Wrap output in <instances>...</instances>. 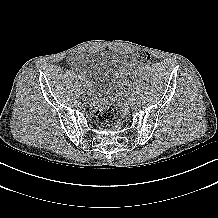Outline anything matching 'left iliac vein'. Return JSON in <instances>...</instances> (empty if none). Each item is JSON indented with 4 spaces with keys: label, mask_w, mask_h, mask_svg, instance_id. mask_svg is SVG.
<instances>
[{
    "label": "left iliac vein",
    "mask_w": 218,
    "mask_h": 218,
    "mask_svg": "<svg viewBox=\"0 0 218 218\" xmlns=\"http://www.w3.org/2000/svg\"><path fill=\"white\" fill-rule=\"evenodd\" d=\"M134 99L132 98V97H130L129 99H128V101L131 103L132 101H133Z\"/></svg>",
    "instance_id": "left-iliac-vein-1"
}]
</instances>
